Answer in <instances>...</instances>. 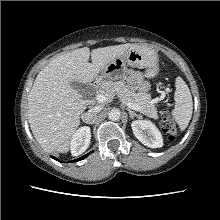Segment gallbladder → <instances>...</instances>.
<instances>
[{
	"mask_svg": "<svg viewBox=\"0 0 220 220\" xmlns=\"http://www.w3.org/2000/svg\"><path fill=\"white\" fill-rule=\"evenodd\" d=\"M71 85L82 95L86 94V91L89 88L86 84L78 83V82H72Z\"/></svg>",
	"mask_w": 220,
	"mask_h": 220,
	"instance_id": "obj_1",
	"label": "gallbladder"
}]
</instances>
